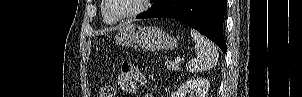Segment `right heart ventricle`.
Wrapping results in <instances>:
<instances>
[{"label": "right heart ventricle", "mask_w": 302, "mask_h": 97, "mask_svg": "<svg viewBox=\"0 0 302 97\" xmlns=\"http://www.w3.org/2000/svg\"><path fill=\"white\" fill-rule=\"evenodd\" d=\"M103 18H104V21L107 23V24H113L115 23V20H113L112 18H110L104 11V14H103Z\"/></svg>", "instance_id": "1"}]
</instances>
